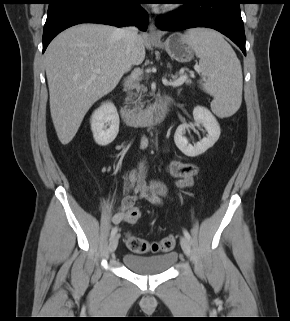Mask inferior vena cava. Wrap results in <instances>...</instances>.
I'll list each match as a JSON object with an SVG mask.
<instances>
[{
	"label": "inferior vena cava",
	"instance_id": "obj_1",
	"mask_svg": "<svg viewBox=\"0 0 290 321\" xmlns=\"http://www.w3.org/2000/svg\"><path fill=\"white\" fill-rule=\"evenodd\" d=\"M137 33H138V30L136 27H126V28L120 29L119 31V34L122 37L127 47L134 45V42L137 39Z\"/></svg>",
	"mask_w": 290,
	"mask_h": 321
}]
</instances>
